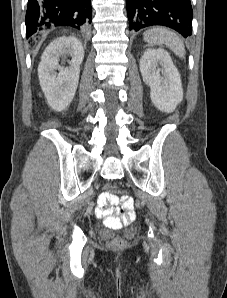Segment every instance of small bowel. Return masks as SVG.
Here are the masks:
<instances>
[{
  "instance_id": "obj_1",
  "label": "small bowel",
  "mask_w": 227,
  "mask_h": 298,
  "mask_svg": "<svg viewBox=\"0 0 227 298\" xmlns=\"http://www.w3.org/2000/svg\"><path fill=\"white\" fill-rule=\"evenodd\" d=\"M117 211H118V209H117ZM96 215L98 217H104L105 216V212L99 206H97V208H96ZM133 215H134V213H133L132 209L131 210H128V216L125 217L122 220V223H125V224L126 223H129L130 220L132 219Z\"/></svg>"
}]
</instances>
